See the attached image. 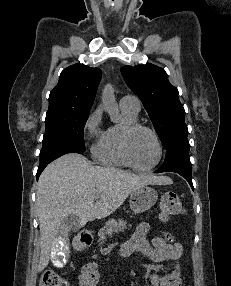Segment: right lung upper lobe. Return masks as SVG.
<instances>
[{
    "label": "right lung upper lobe",
    "mask_w": 231,
    "mask_h": 286,
    "mask_svg": "<svg viewBox=\"0 0 231 286\" xmlns=\"http://www.w3.org/2000/svg\"><path fill=\"white\" fill-rule=\"evenodd\" d=\"M101 76L97 67L82 64L67 67L49 95V109H91Z\"/></svg>",
    "instance_id": "right-lung-upper-lobe-1"
}]
</instances>
